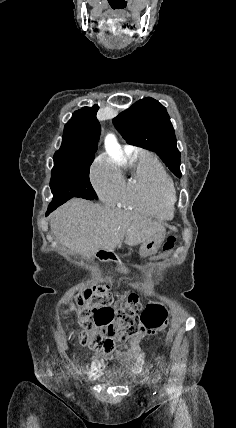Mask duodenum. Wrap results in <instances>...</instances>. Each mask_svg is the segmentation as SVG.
<instances>
[{"label": "duodenum", "mask_w": 236, "mask_h": 428, "mask_svg": "<svg viewBox=\"0 0 236 428\" xmlns=\"http://www.w3.org/2000/svg\"><path fill=\"white\" fill-rule=\"evenodd\" d=\"M96 257L98 260L110 265H114L116 267L121 264V261L117 254L110 249H100L97 252Z\"/></svg>", "instance_id": "duodenum-1"}]
</instances>
